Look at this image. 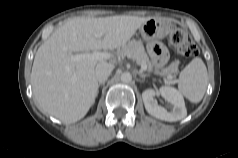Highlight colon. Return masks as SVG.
<instances>
[{
  "label": "colon",
  "mask_w": 238,
  "mask_h": 158,
  "mask_svg": "<svg viewBox=\"0 0 238 158\" xmlns=\"http://www.w3.org/2000/svg\"><path fill=\"white\" fill-rule=\"evenodd\" d=\"M169 39L177 52L185 57L195 56L198 49L188 34L177 26H172L169 33Z\"/></svg>",
  "instance_id": "obj_1"
}]
</instances>
